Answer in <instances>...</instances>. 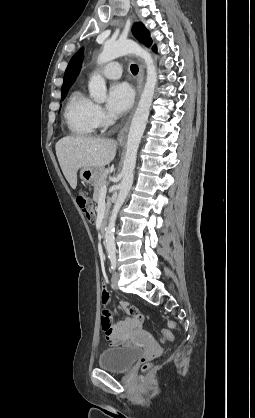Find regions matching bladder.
I'll list each match as a JSON object with an SVG mask.
<instances>
[{"mask_svg":"<svg viewBox=\"0 0 255 418\" xmlns=\"http://www.w3.org/2000/svg\"><path fill=\"white\" fill-rule=\"evenodd\" d=\"M141 356V350L133 346H120L104 350L98 358L100 368L114 371H127Z\"/></svg>","mask_w":255,"mask_h":418,"instance_id":"obj_1","label":"bladder"}]
</instances>
